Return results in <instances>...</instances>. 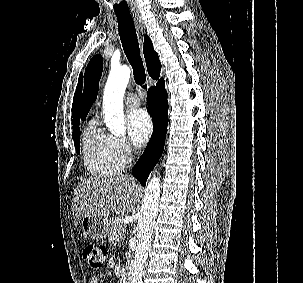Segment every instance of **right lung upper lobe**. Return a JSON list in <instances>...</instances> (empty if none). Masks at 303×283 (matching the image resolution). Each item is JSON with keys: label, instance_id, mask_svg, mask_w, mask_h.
I'll list each match as a JSON object with an SVG mask.
<instances>
[{"label": "right lung upper lobe", "instance_id": "right-lung-upper-lobe-1", "mask_svg": "<svg viewBox=\"0 0 303 283\" xmlns=\"http://www.w3.org/2000/svg\"><path fill=\"white\" fill-rule=\"evenodd\" d=\"M143 52L146 60L148 73L153 79L157 80L160 76L161 63L159 61L158 54L154 51L152 42L147 35H145L144 37ZM161 80H163V78H161L159 81ZM81 90H82V74H80L78 85L73 98V104H72L73 127L78 126L80 123L79 101H80Z\"/></svg>", "mask_w": 303, "mask_h": 283}]
</instances>
